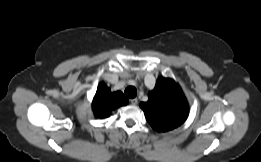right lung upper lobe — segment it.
Returning <instances> with one entry per match:
<instances>
[{
  "label": "right lung upper lobe",
  "instance_id": "right-lung-upper-lobe-1",
  "mask_svg": "<svg viewBox=\"0 0 261 162\" xmlns=\"http://www.w3.org/2000/svg\"><path fill=\"white\" fill-rule=\"evenodd\" d=\"M127 104L128 99L121 91L111 92L110 88L101 82L93 99L92 108L96 117L106 118L116 108Z\"/></svg>",
  "mask_w": 261,
  "mask_h": 162
}]
</instances>
